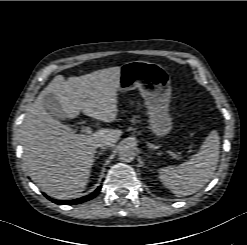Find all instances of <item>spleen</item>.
<instances>
[{
    "mask_svg": "<svg viewBox=\"0 0 247 245\" xmlns=\"http://www.w3.org/2000/svg\"><path fill=\"white\" fill-rule=\"evenodd\" d=\"M220 141L217 131L206 137L200 151L180 166H168L159 170L163 185L176 196L196 193L213 177L219 161Z\"/></svg>",
    "mask_w": 247,
    "mask_h": 245,
    "instance_id": "1",
    "label": "spleen"
}]
</instances>
